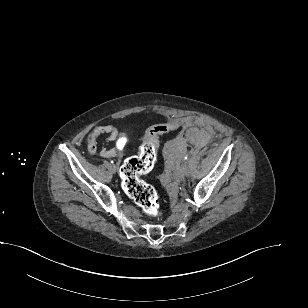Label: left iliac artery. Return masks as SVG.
I'll return each instance as SVG.
<instances>
[{
	"instance_id": "1",
	"label": "left iliac artery",
	"mask_w": 308,
	"mask_h": 308,
	"mask_svg": "<svg viewBox=\"0 0 308 308\" xmlns=\"http://www.w3.org/2000/svg\"><path fill=\"white\" fill-rule=\"evenodd\" d=\"M184 159L187 160V159H188V155H186V156L184 157Z\"/></svg>"
}]
</instances>
